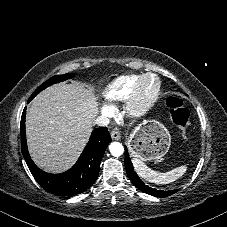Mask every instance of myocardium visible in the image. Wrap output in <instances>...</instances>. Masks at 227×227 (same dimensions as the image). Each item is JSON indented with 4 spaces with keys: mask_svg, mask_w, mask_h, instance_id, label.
<instances>
[{
    "mask_svg": "<svg viewBox=\"0 0 227 227\" xmlns=\"http://www.w3.org/2000/svg\"><path fill=\"white\" fill-rule=\"evenodd\" d=\"M146 82L152 84L149 92H146L144 88ZM160 91V82L156 76L153 74L141 75L125 101V113L133 118L145 115L158 100Z\"/></svg>",
    "mask_w": 227,
    "mask_h": 227,
    "instance_id": "obj_1",
    "label": "myocardium"
}]
</instances>
